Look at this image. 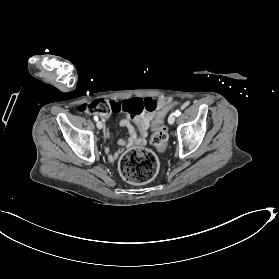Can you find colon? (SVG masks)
Segmentation results:
<instances>
[{
	"mask_svg": "<svg viewBox=\"0 0 279 279\" xmlns=\"http://www.w3.org/2000/svg\"><path fill=\"white\" fill-rule=\"evenodd\" d=\"M174 104L168 100L156 102L151 98H135L121 102H112L105 99H96L88 105H82L80 111H88L106 117L111 113H127L139 116L144 113H153L161 109L153 121L152 144L163 152L168 142V130L164 120ZM120 173L122 177L133 184H144L151 181L159 169L158 160L153 152L147 149H132L124 153L120 159Z\"/></svg>",
	"mask_w": 279,
	"mask_h": 279,
	"instance_id": "1",
	"label": "colon"
}]
</instances>
